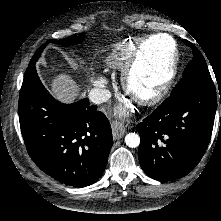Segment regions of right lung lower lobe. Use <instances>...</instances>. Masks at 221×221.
Masks as SVG:
<instances>
[{
  "instance_id": "1",
  "label": "right lung lower lobe",
  "mask_w": 221,
  "mask_h": 221,
  "mask_svg": "<svg viewBox=\"0 0 221 221\" xmlns=\"http://www.w3.org/2000/svg\"><path fill=\"white\" fill-rule=\"evenodd\" d=\"M19 120L30 157L47 175L74 187L91 185L102 176L112 131L106 116L88 99L58 102L34 68L20 90Z\"/></svg>"
}]
</instances>
